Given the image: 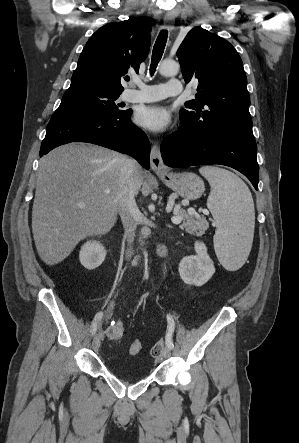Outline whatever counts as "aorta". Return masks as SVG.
Segmentation results:
<instances>
[{
  "label": "aorta",
  "mask_w": 299,
  "mask_h": 443,
  "mask_svg": "<svg viewBox=\"0 0 299 443\" xmlns=\"http://www.w3.org/2000/svg\"><path fill=\"white\" fill-rule=\"evenodd\" d=\"M180 66L177 62L173 60H164L159 65V73L163 76L171 77L177 75L179 72ZM144 251V255H145Z\"/></svg>",
  "instance_id": "1"
}]
</instances>
